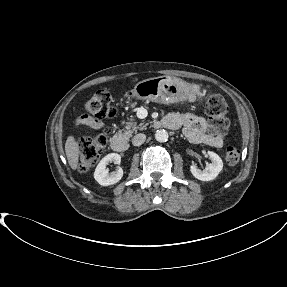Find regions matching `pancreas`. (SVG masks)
I'll use <instances>...</instances> for the list:
<instances>
[{
	"mask_svg": "<svg viewBox=\"0 0 287 287\" xmlns=\"http://www.w3.org/2000/svg\"><path fill=\"white\" fill-rule=\"evenodd\" d=\"M144 127L145 125H143V123L137 125L136 122L129 121L125 123V127L122 129V131L126 137H131L133 133H137L138 129L141 130Z\"/></svg>",
	"mask_w": 287,
	"mask_h": 287,
	"instance_id": "obj_1",
	"label": "pancreas"
}]
</instances>
